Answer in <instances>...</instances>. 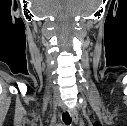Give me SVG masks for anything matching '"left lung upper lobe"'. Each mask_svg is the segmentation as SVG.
Segmentation results:
<instances>
[{
  "mask_svg": "<svg viewBox=\"0 0 127 126\" xmlns=\"http://www.w3.org/2000/svg\"><path fill=\"white\" fill-rule=\"evenodd\" d=\"M94 126H101V125H100V124H98V123H95V124H94Z\"/></svg>",
  "mask_w": 127,
  "mask_h": 126,
  "instance_id": "5c2ea615",
  "label": "left lung upper lobe"
}]
</instances>
